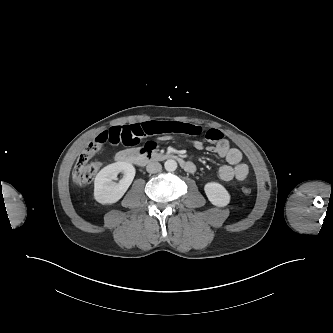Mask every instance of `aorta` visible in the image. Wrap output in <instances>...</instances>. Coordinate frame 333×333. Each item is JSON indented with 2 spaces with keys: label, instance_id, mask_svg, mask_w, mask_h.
<instances>
[{
  "label": "aorta",
  "instance_id": "aorta-1",
  "mask_svg": "<svg viewBox=\"0 0 333 333\" xmlns=\"http://www.w3.org/2000/svg\"><path fill=\"white\" fill-rule=\"evenodd\" d=\"M164 167L169 172L175 171L177 169V162L174 159H168L165 161Z\"/></svg>",
  "mask_w": 333,
  "mask_h": 333
}]
</instances>
